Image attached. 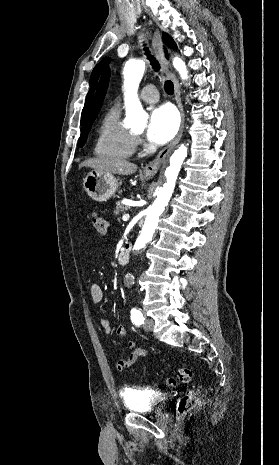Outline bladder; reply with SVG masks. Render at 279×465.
<instances>
[{"label": "bladder", "instance_id": "31cf9c89", "mask_svg": "<svg viewBox=\"0 0 279 465\" xmlns=\"http://www.w3.org/2000/svg\"><path fill=\"white\" fill-rule=\"evenodd\" d=\"M123 402L127 410L135 413L158 412L164 409L168 396L164 393L139 387H126Z\"/></svg>", "mask_w": 279, "mask_h": 465}]
</instances>
